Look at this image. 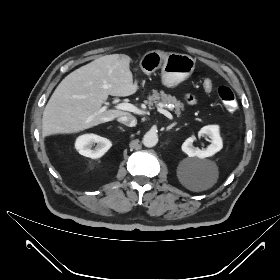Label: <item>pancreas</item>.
<instances>
[{"instance_id": "pancreas-1", "label": "pancreas", "mask_w": 280, "mask_h": 280, "mask_svg": "<svg viewBox=\"0 0 280 280\" xmlns=\"http://www.w3.org/2000/svg\"><path fill=\"white\" fill-rule=\"evenodd\" d=\"M147 104L149 109L160 104H171L172 106L169 109L173 110L178 117L181 116V112L184 110V104L182 102L171 95L165 94L164 91L158 92L157 90H152L151 94L148 96Z\"/></svg>"}]
</instances>
